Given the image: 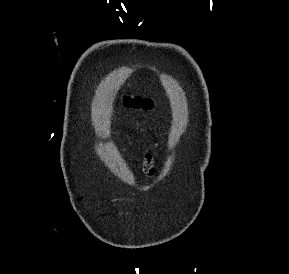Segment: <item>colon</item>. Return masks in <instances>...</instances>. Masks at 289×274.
<instances>
[{
    "mask_svg": "<svg viewBox=\"0 0 289 274\" xmlns=\"http://www.w3.org/2000/svg\"><path fill=\"white\" fill-rule=\"evenodd\" d=\"M123 103L125 107L131 109L150 110L154 106L153 100L142 97L126 96L123 98Z\"/></svg>",
    "mask_w": 289,
    "mask_h": 274,
    "instance_id": "5ec220e1",
    "label": "colon"
}]
</instances>
